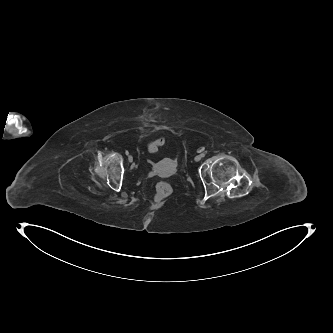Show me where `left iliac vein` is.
I'll return each mask as SVG.
<instances>
[{
    "instance_id": "left-iliac-vein-1",
    "label": "left iliac vein",
    "mask_w": 333,
    "mask_h": 333,
    "mask_svg": "<svg viewBox=\"0 0 333 333\" xmlns=\"http://www.w3.org/2000/svg\"><path fill=\"white\" fill-rule=\"evenodd\" d=\"M201 159H202V155H197V156L194 158L195 161H200Z\"/></svg>"
}]
</instances>
